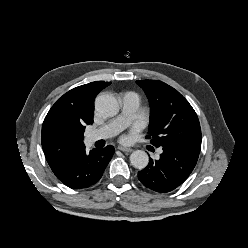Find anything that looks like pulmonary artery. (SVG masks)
Instances as JSON below:
<instances>
[{
  "label": "pulmonary artery",
  "mask_w": 248,
  "mask_h": 248,
  "mask_svg": "<svg viewBox=\"0 0 248 248\" xmlns=\"http://www.w3.org/2000/svg\"><path fill=\"white\" fill-rule=\"evenodd\" d=\"M121 104L122 110L118 117L87 135L90 143L111 138L123 130L136 114L139 106V97L133 92H125L121 95Z\"/></svg>",
  "instance_id": "1"
}]
</instances>
